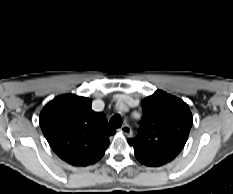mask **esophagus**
<instances>
[{"label":"esophagus","instance_id":"34e87169","mask_svg":"<svg viewBox=\"0 0 233 194\" xmlns=\"http://www.w3.org/2000/svg\"><path fill=\"white\" fill-rule=\"evenodd\" d=\"M119 130L127 137H131L133 134L132 129L129 125H123Z\"/></svg>","mask_w":233,"mask_h":194}]
</instances>
